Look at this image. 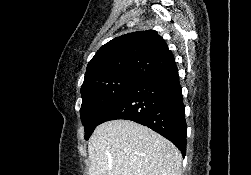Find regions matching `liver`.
<instances>
[{"mask_svg":"<svg viewBox=\"0 0 251 175\" xmlns=\"http://www.w3.org/2000/svg\"><path fill=\"white\" fill-rule=\"evenodd\" d=\"M88 157V175H181L179 149L129 119L97 125L88 141Z\"/></svg>","mask_w":251,"mask_h":175,"instance_id":"obj_1","label":"liver"}]
</instances>
